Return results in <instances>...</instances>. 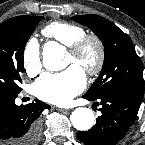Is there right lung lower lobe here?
Masks as SVG:
<instances>
[{"label": "right lung lower lobe", "mask_w": 145, "mask_h": 145, "mask_svg": "<svg viewBox=\"0 0 145 145\" xmlns=\"http://www.w3.org/2000/svg\"><path fill=\"white\" fill-rule=\"evenodd\" d=\"M19 92L0 88V145H37L40 138L39 116L50 106L35 99L17 106Z\"/></svg>", "instance_id": "obj_1"}]
</instances>
